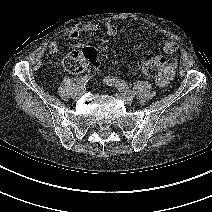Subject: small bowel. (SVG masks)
<instances>
[{
  "instance_id": "obj_1",
  "label": "small bowel",
  "mask_w": 212,
  "mask_h": 212,
  "mask_svg": "<svg viewBox=\"0 0 212 212\" xmlns=\"http://www.w3.org/2000/svg\"><path fill=\"white\" fill-rule=\"evenodd\" d=\"M81 31L92 32V33L104 32L105 35L108 37H115L117 34V28L111 22H105L102 26L89 24V25L82 27L81 30H71L68 33V39L71 42L67 45H60L59 43H57L55 41L51 42L48 46L49 53L51 55H55L65 49L85 48L87 46L95 47L98 50L105 52V53L111 52L110 48H108L107 46H104V45H91V44H87V43L78 42ZM162 42H163V51L168 55L175 54L179 49L178 44L173 40L162 39ZM154 58H164V60H165L164 71L166 70L167 67L169 68L168 76H164V79L157 81L160 86L165 87L169 84V82L171 81V79L173 78V76L175 74V71L177 68V61L175 58H165L164 56H160V55L155 56Z\"/></svg>"
}]
</instances>
